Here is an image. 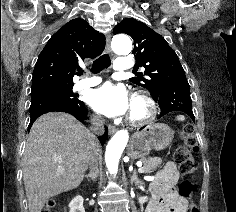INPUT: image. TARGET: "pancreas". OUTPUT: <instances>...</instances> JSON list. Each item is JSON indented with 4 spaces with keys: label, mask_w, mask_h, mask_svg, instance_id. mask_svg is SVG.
<instances>
[{
    "label": "pancreas",
    "mask_w": 236,
    "mask_h": 212,
    "mask_svg": "<svg viewBox=\"0 0 236 212\" xmlns=\"http://www.w3.org/2000/svg\"><path fill=\"white\" fill-rule=\"evenodd\" d=\"M143 162V172L142 173H150L154 171L161 163L162 160L158 157H151L148 159H142Z\"/></svg>",
    "instance_id": "pancreas-1"
}]
</instances>
